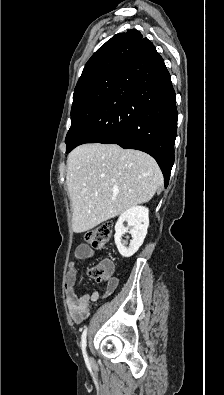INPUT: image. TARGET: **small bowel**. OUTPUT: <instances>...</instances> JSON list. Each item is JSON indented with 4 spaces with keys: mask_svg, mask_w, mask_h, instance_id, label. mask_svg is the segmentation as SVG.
Wrapping results in <instances>:
<instances>
[{
    "mask_svg": "<svg viewBox=\"0 0 224 395\" xmlns=\"http://www.w3.org/2000/svg\"><path fill=\"white\" fill-rule=\"evenodd\" d=\"M94 249L87 244H80L76 249V261L70 262L66 275V303L69 314L75 323H81L90 315V310L98 302L100 294L93 291L89 295H79L75 291V283L79 272V261L92 258ZM113 270V266H111ZM118 280L111 277L106 288V295L111 294L117 287Z\"/></svg>",
    "mask_w": 224,
    "mask_h": 395,
    "instance_id": "obj_1",
    "label": "small bowel"
}]
</instances>
